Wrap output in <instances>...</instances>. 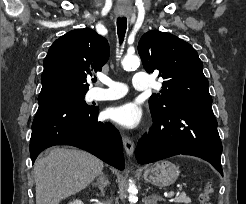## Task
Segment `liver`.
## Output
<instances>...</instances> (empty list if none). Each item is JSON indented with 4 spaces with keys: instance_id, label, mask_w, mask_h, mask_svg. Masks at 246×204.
I'll return each mask as SVG.
<instances>
[{
    "instance_id": "6515ba94",
    "label": "liver",
    "mask_w": 246,
    "mask_h": 204,
    "mask_svg": "<svg viewBox=\"0 0 246 204\" xmlns=\"http://www.w3.org/2000/svg\"><path fill=\"white\" fill-rule=\"evenodd\" d=\"M103 167L100 159L85 151L59 147L48 150L33 168L36 204H59L86 188Z\"/></svg>"
}]
</instances>
